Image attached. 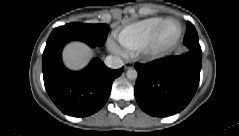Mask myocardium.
Listing matches in <instances>:
<instances>
[{
	"instance_id": "obj_1",
	"label": "myocardium",
	"mask_w": 239,
	"mask_h": 136,
	"mask_svg": "<svg viewBox=\"0 0 239 136\" xmlns=\"http://www.w3.org/2000/svg\"><path fill=\"white\" fill-rule=\"evenodd\" d=\"M168 22H163L161 23L152 33L151 35L148 37L147 41H146V48L150 49L153 48L155 46V42L156 39L160 33V31L162 30V28L167 24ZM179 28V32L181 31V27L178 25Z\"/></svg>"
}]
</instances>
